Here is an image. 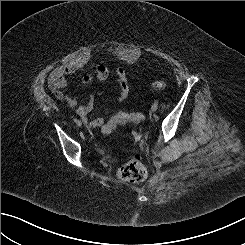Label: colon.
Instances as JSON below:
<instances>
[{
  "mask_svg": "<svg viewBox=\"0 0 245 245\" xmlns=\"http://www.w3.org/2000/svg\"><path fill=\"white\" fill-rule=\"evenodd\" d=\"M167 86L166 81L157 79L150 83L152 90H163ZM144 116L140 113H119L113 116L103 127V132L110 133L118 124L121 123H140ZM120 180L128 183H139L145 180L147 176L146 167L139 155H134L128 162H126L117 173Z\"/></svg>",
  "mask_w": 245,
  "mask_h": 245,
  "instance_id": "obj_1",
  "label": "colon"
}]
</instances>
